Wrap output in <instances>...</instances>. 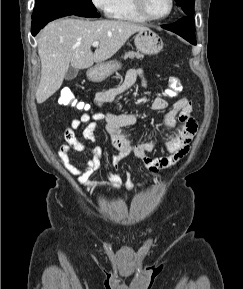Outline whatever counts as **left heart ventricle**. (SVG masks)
Returning a JSON list of instances; mask_svg holds the SVG:
<instances>
[{
	"label": "left heart ventricle",
	"instance_id": "1",
	"mask_svg": "<svg viewBox=\"0 0 243 289\" xmlns=\"http://www.w3.org/2000/svg\"><path fill=\"white\" fill-rule=\"evenodd\" d=\"M169 0H146L147 11L152 16H162L169 10Z\"/></svg>",
	"mask_w": 243,
	"mask_h": 289
}]
</instances>
